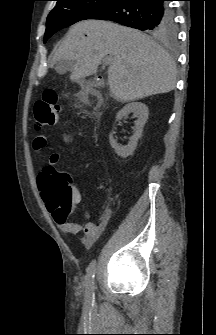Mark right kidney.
<instances>
[{
  "label": "right kidney",
  "mask_w": 216,
  "mask_h": 335,
  "mask_svg": "<svg viewBox=\"0 0 216 335\" xmlns=\"http://www.w3.org/2000/svg\"><path fill=\"white\" fill-rule=\"evenodd\" d=\"M130 113H134L137 120L135 121L134 134L131 136L130 141L127 146L117 145L113 133L109 135V142L111 147L115 150L118 156L126 158L129 155H132L136 149L138 139L142 135L143 127L148 119L149 110L148 107L141 102H133L127 104L121 109L117 116L116 121L121 120L123 117L127 116Z\"/></svg>",
  "instance_id": "ca27d5eb"
}]
</instances>
